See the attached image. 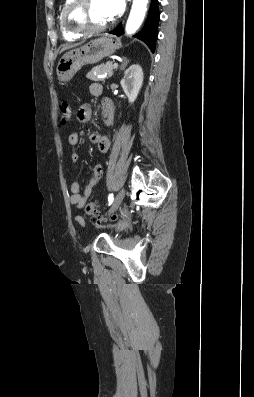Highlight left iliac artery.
I'll list each match as a JSON object with an SVG mask.
<instances>
[{
  "label": "left iliac artery",
  "mask_w": 254,
  "mask_h": 397,
  "mask_svg": "<svg viewBox=\"0 0 254 397\" xmlns=\"http://www.w3.org/2000/svg\"><path fill=\"white\" fill-rule=\"evenodd\" d=\"M113 200H114V195L110 194L108 197L109 205L112 204Z\"/></svg>",
  "instance_id": "44dca946"
}]
</instances>
